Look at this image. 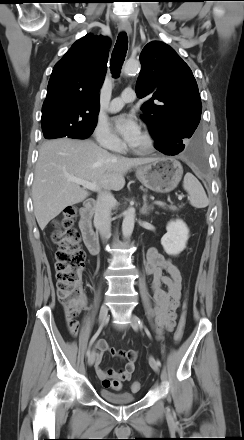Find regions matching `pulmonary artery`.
<instances>
[{
	"label": "pulmonary artery",
	"instance_id": "obj_1",
	"mask_svg": "<svg viewBox=\"0 0 244 440\" xmlns=\"http://www.w3.org/2000/svg\"><path fill=\"white\" fill-rule=\"evenodd\" d=\"M135 99V92L131 89H126L121 96L113 99L107 107L109 112H117L123 108L126 103L133 102Z\"/></svg>",
	"mask_w": 244,
	"mask_h": 440
}]
</instances>
